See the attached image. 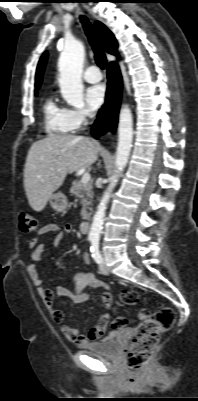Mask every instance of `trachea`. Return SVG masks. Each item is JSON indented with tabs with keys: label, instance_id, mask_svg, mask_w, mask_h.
Instances as JSON below:
<instances>
[{
	"label": "trachea",
	"instance_id": "trachea-1",
	"mask_svg": "<svg viewBox=\"0 0 198 401\" xmlns=\"http://www.w3.org/2000/svg\"><path fill=\"white\" fill-rule=\"evenodd\" d=\"M80 20L83 24L84 31L86 33V36L88 37L89 43L94 51V57L97 65L101 69H105L107 65V59L105 56V53L102 49L99 37L94 30L93 26L89 22V20L85 16H81Z\"/></svg>",
	"mask_w": 198,
	"mask_h": 401
}]
</instances>
